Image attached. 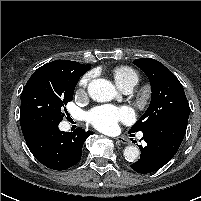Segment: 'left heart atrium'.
<instances>
[{
  "label": "left heart atrium",
  "instance_id": "1",
  "mask_svg": "<svg viewBox=\"0 0 201 201\" xmlns=\"http://www.w3.org/2000/svg\"><path fill=\"white\" fill-rule=\"evenodd\" d=\"M87 118L98 130L111 132L117 128L120 121L132 120L133 112L127 107L100 106L92 109Z\"/></svg>",
  "mask_w": 201,
  "mask_h": 201
}]
</instances>
